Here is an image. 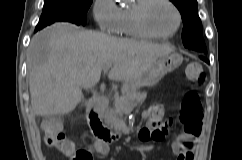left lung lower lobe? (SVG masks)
Segmentation results:
<instances>
[{"instance_id": "left-lung-lower-lobe-1", "label": "left lung lower lobe", "mask_w": 242, "mask_h": 160, "mask_svg": "<svg viewBox=\"0 0 242 160\" xmlns=\"http://www.w3.org/2000/svg\"><path fill=\"white\" fill-rule=\"evenodd\" d=\"M198 55L200 56V58L202 60H204L205 62L209 63L208 59L206 58V54L198 53Z\"/></svg>"}]
</instances>
